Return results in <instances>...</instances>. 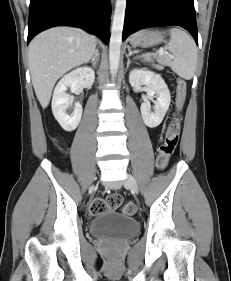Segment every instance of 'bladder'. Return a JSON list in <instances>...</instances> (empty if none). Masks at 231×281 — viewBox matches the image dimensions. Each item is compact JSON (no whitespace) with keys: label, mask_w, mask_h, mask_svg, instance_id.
Here are the masks:
<instances>
[{"label":"bladder","mask_w":231,"mask_h":281,"mask_svg":"<svg viewBox=\"0 0 231 281\" xmlns=\"http://www.w3.org/2000/svg\"><path fill=\"white\" fill-rule=\"evenodd\" d=\"M88 230L94 237L130 238L137 234L139 223L126 214L107 210L89 220Z\"/></svg>","instance_id":"bladder-1"}]
</instances>
